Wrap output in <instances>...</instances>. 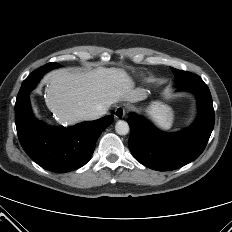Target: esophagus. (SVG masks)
Segmentation results:
<instances>
[{
	"instance_id": "esophagus-1",
	"label": "esophagus",
	"mask_w": 232,
	"mask_h": 232,
	"mask_svg": "<svg viewBox=\"0 0 232 232\" xmlns=\"http://www.w3.org/2000/svg\"><path fill=\"white\" fill-rule=\"evenodd\" d=\"M126 115V109L123 106H118L115 109L114 116L116 118H123Z\"/></svg>"
}]
</instances>
